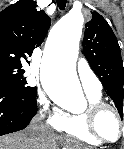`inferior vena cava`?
<instances>
[{"label": "inferior vena cava", "mask_w": 124, "mask_h": 149, "mask_svg": "<svg viewBox=\"0 0 124 149\" xmlns=\"http://www.w3.org/2000/svg\"><path fill=\"white\" fill-rule=\"evenodd\" d=\"M42 128L43 127L39 123V118L34 119L32 124L29 127V129H31L32 131H38V130H40Z\"/></svg>", "instance_id": "602c4592"}]
</instances>
